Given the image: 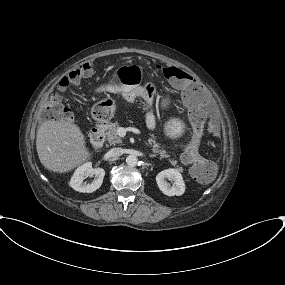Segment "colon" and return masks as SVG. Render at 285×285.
Segmentation results:
<instances>
[{
    "label": "colon",
    "instance_id": "1",
    "mask_svg": "<svg viewBox=\"0 0 285 285\" xmlns=\"http://www.w3.org/2000/svg\"><path fill=\"white\" fill-rule=\"evenodd\" d=\"M158 70L170 81L180 82L185 79V75L175 67H159ZM123 84L132 83V79L139 75L140 68L136 65L124 67L119 70ZM94 69L90 63H83L62 77L58 83L57 91L53 92L44 102L42 106V116L44 118H57L60 116L68 117V110L64 106L63 93L73 84L79 83L82 79L91 77ZM191 86L186 85L185 95L187 101L196 102V95L191 93ZM153 90H149L152 94ZM103 106L99 103L94 112ZM188 117L191 123L193 134L181 155V161L184 164H191V174L200 181H206L214 172V165L201 157L199 154V145L203 135L205 126V114L203 110L195 105L188 109Z\"/></svg>",
    "mask_w": 285,
    "mask_h": 285
}]
</instances>
